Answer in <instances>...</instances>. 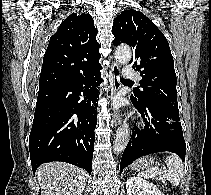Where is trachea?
<instances>
[{"label":"trachea","mask_w":211,"mask_h":195,"mask_svg":"<svg viewBox=\"0 0 211 195\" xmlns=\"http://www.w3.org/2000/svg\"><path fill=\"white\" fill-rule=\"evenodd\" d=\"M120 80H121V81H125V82H132V81H130V80L123 79V78H121Z\"/></svg>","instance_id":"obj_1"}]
</instances>
